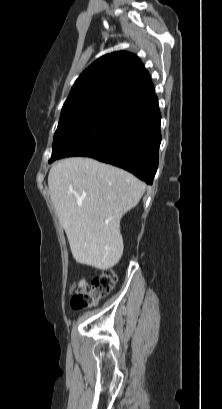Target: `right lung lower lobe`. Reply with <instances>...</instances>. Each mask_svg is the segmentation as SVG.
I'll use <instances>...</instances> for the list:
<instances>
[{
    "instance_id": "1",
    "label": "right lung lower lobe",
    "mask_w": 222,
    "mask_h": 409,
    "mask_svg": "<svg viewBox=\"0 0 222 409\" xmlns=\"http://www.w3.org/2000/svg\"><path fill=\"white\" fill-rule=\"evenodd\" d=\"M160 120L157 97L125 107L113 119L101 144L86 156L123 168L152 184L158 168Z\"/></svg>"
}]
</instances>
